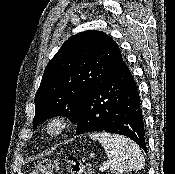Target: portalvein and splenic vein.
<instances>
[{
	"label": "portal vein and splenic vein",
	"instance_id": "18ae733b",
	"mask_svg": "<svg viewBox=\"0 0 175 174\" xmlns=\"http://www.w3.org/2000/svg\"><path fill=\"white\" fill-rule=\"evenodd\" d=\"M108 168H109V165H104L103 167H100L99 170L101 172H103V171L107 170Z\"/></svg>",
	"mask_w": 175,
	"mask_h": 174
}]
</instances>
